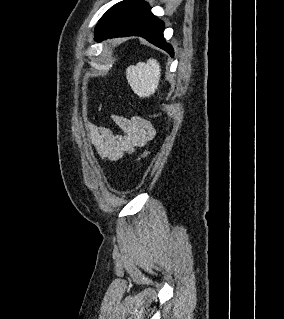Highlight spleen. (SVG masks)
<instances>
[{
	"label": "spleen",
	"instance_id": "1",
	"mask_svg": "<svg viewBox=\"0 0 284 319\" xmlns=\"http://www.w3.org/2000/svg\"><path fill=\"white\" fill-rule=\"evenodd\" d=\"M126 77L134 93L139 97H149L158 89L161 69L156 59L139 62L126 70Z\"/></svg>",
	"mask_w": 284,
	"mask_h": 319
}]
</instances>
